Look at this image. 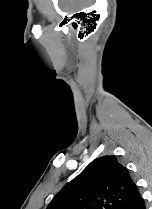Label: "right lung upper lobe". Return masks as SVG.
<instances>
[{
    "label": "right lung upper lobe",
    "instance_id": "right-lung-upper-lobe-1",
    "mask_svg": "<svg viewBox=\"0 0 152 209\" xmlns=\"http://www.w3.org/2000/svg\"><path fill=\"white\" fill-rule=\"evenodd\" d=\"M138 188L115 156L93 160L52 199L47 209H122Z\"/></svg>",
    "mask_w": 152,
    "mask_h": 209
}]
</instances>
